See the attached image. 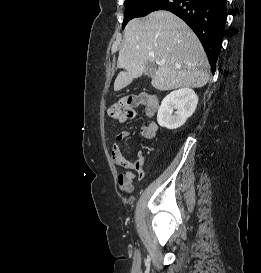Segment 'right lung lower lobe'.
<instances>
[{
  "mask_svg": "<svg viewBox=\"0 0 261 273\" xmlns=\"http://www.w3.org/2000/svg\"><path fill=\"white\" fill-rule=\"evenodd\" d=\"M139 10L142 16L168 10L184 20L200 39L215 72L224 36L226 0H151L140 5Z\"/></svg>",
  "mask_w": 261,
  "mask_h": 273,
  "instance_id": "right-lung-lower-lobe-1",
  "label": "right lung lower lobe"
}]
</instances>
